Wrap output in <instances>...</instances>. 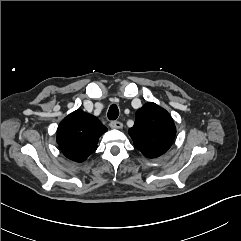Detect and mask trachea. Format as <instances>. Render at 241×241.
Masks as SVG:
<instances>
[{
    "label": "trachea",
    "instance_id": "1",
    "mask_svg": "<svg viewBox=\"0 0 241 241\" xmlns=\"http://www.w3.org/2000/svg\"><path fill=\"white\" fill-rule=\"evenodd\" d=\"M118 115H119L118 107L115 104L111 105L108 111V119L116 120Z\"/></svg>",
    "mask_w": 241,
    "mask_h": 241
}]
</instances>
